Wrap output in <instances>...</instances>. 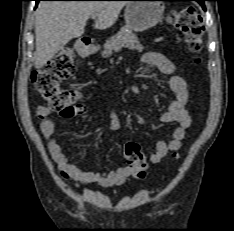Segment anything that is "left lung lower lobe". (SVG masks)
Masks as SVG:
<instances>
[{"label": "left lung lower lobe", "mask_w": 234, "mask_h": 231, "mask_svg": "<svg viewBox=\"0 0 234 231\" xmlns=\"http://www.w3.org/2000/svg\"><path fill=\"white\" fill-rule=\"evenodd\" d=\"M180 1H197L198 3H200V5L202 6V8L205 10L204 1H208V0H180Z\"/></svg>", "instance_id": "left-lung-lower-lobe-1"}]
</instances>
